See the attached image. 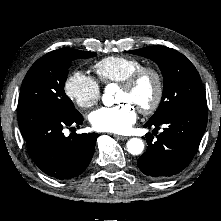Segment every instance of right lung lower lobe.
<instances>
[{
	"instance_id": "right-lung-lower-lobe-1",
	"label": "right lung lower lobe",
	"mask_w": 221,
	"mask_h": 221,
	"mask_svg": "<svg viewBox=\"0 0 221 221\" xmlns=\"http://www.w3.org/2000/svg\"><path fill=\"white\" fill-rule=\"evenodd\" d=\"M17 118L28 154L45 174L63 180L77 177L87 168L99 134L63 133L66 127L82 124L81 114L66 116L32 105L18 109Z\"/></svg>"
}]
</instances>
